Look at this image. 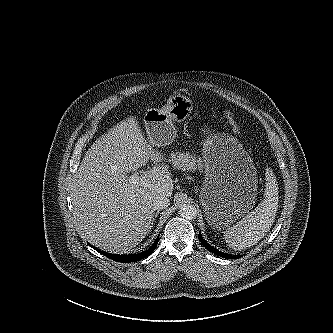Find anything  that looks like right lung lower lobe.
Here are the masks:
<instances>
[{
  "instance_id": "obj_1",
  "label": "right lung lower lobe",
  "mask_w": 333,
  "mask_h": 333,
  "mask_svg": "<svg viewBox=\"0 0 333 333\" xmlns=\"http://www.w3.org/2000/svg\"><path fill=\"white\" fill-rule=\"evenodd\" d=\"M158 241H159V237L156 238V240L154 241V243L148 250L138 253V254H129V255L109 254V253L103 252V251L93 247L92 245H90V246L93 249H95L97 252H99L100 254H103L104 256L108 257L109 259H112V260L118 261V262L129 263V262H136V261L150 255L155 250V248L158 244Z\"/></svg>"
}]
</instances>
